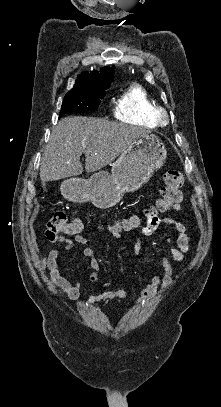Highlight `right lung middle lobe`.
Wrapping results in <instances>:
<instances>
[{"label": "right lung middle lobe", "instance_id": "right-lung-middle-lobe-1", "mask_svg": "<svg viewBox=\"0 0 221 407\" xmlns=\"http://www.w3.org/2000/svg\"><path fill=\"white\" fill-rule=\"evenodd\" d=\"M107 89V88H106ZM96 91H70L63 100L60 116L74 111H94L98 108L100 99L105 95V90Z\"/></svg>", "mask_w": 221, "mask_h": 407}]
</instances>
